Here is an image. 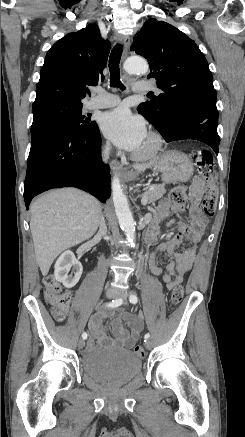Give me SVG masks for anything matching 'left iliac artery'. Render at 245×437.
I'll use <instances>...</instances> for the list:
<instances>
[{
  "label": "left iliac artery",
  "mask_w": 245,
  "mask_h": 437,
  "mask_svg": "<svg viewBox=\"0 0 245 437\" xmlns=\"http://www.w3.org/2000/svg\"><path fill=\"white\" fill-rule=\"evenodd\" d=\"M129 300H130V302H131L132 304H136V303L138 302V297H137V295H136L134 292H132V293H130ZM149 337H150V335H149L148 333L145 334V336H144V338H145V342H146V340L149 339Z\"/></svg>",
  "instance_id": "44dca946"
}]
</instances>
